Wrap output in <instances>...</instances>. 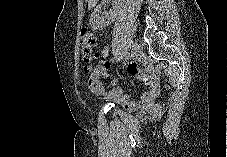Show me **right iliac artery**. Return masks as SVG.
<instances>
[{"label": "right iliac artery", "mask_w": 227, "mask_h": 157, "mask_svg": "<svg viewBox=\"0 0 227 157\" xmlns=\"http://www.w3.org/2000/svg\"><path fill=\"white\" fill-rule=\"evenodd\" d=\"M124 51H125V55L126 56H129L130 55V51H131L130 48H125Z\"/></svg>", "instance_id": "right-iliac-artery-1"}]
</instances>
